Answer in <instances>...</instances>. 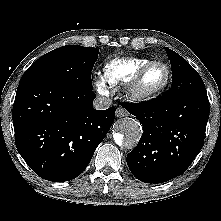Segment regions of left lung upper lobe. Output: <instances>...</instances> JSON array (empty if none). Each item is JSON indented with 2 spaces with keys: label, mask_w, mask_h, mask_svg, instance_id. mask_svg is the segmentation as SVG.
<instances>
[{
  "label": "left lung upper lobe",
  "mask_w": 221,
  "mask_h": 221,
  "mask_svg": "<svg viewBox=\"0 0 221 221\" xmlns=\"http://www.w3.org/2000/svg\"><path fill=\"white\" fill-rule=\"evenodd\" d=\"M172 68V85L166 99L174 101L183 95L206 92L205 85L200 75L179 54L165 48Z\"/></svg>",
  "instance_id": "obj_1"
}]
</instances>
